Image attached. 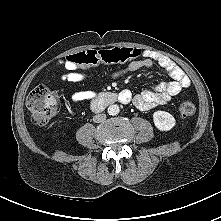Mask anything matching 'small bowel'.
Wrapping results in <instances>:
<instances>
[{
	"instance_id": "obj_1",
	"label": "small bowel",
	"mask_w": 221,
	"mask_h": 221,
	"mask_svg": "<svg viewBox=\"0 0 221 221\" xmlns=\"http://www.w3.org/2000/svg\"><path fill=\"white\" fill-rule=\"evenodd\" d=\"M60 64H64L61 62ZM158 65L162 68L171 78L170 81L162 82L155 87L144 88L137 94L133 95L130 91L125 90L121 95L129 97L133 105L140 110H149L158 105L168 102L173 96L180 93L183 89L190 86V79L184 71L176 65L170 58L153 51H145L140 59L131 61L125 67L112 72L111 77L118 79L130 72H134L141 68H151ZM69 68V72L62 76V79L68 82H81L85 79V75L75 68ZM97 97V93L91 90L76 91L71 95V100L75 103L89 102Z\"/></svg>"
}]
</instances>
